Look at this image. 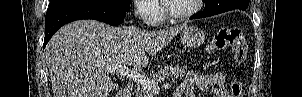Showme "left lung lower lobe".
<instances>
[{
    "instance_id": "obj_1",
    "label": "left lung lower lobe",
    "mask_w": 302,
    "mask_h": 97,
    "mask_svg": "<svg viewBox=\"0 0 302 97\" xmlns=\"http://www.w3.org/2000/svg\"><path fill=\"white\" fill-rule=\"evenodd\" d=\"M241 10H246V9H241ZM219 13H221V12L205 8L203 11H201V12L193 15L192 17H190V19L204 18V17L215 15V14H219Z\"/></svg>"
}]
</instances>
